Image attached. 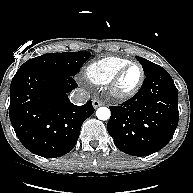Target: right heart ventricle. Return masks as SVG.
Masks as SVG:
<instances>
[{
  "label": "right heart ventricle",
  "mask_w": 193,
  "mask_h": 193,
  "mask_svg": "<svg viewBox=\"0 0 193 193\" xmlns=\"http://www.w3.org/2000/svg\"><path fill=\"white\" fill-rule=\"evenodd\" d=\"M130 60L109 56L89 63L84 69L85 79L94 85H106L110 82L114 74Z\"/></svg>",
  "instance_id": "e07e8e85"
}]
</instances>
